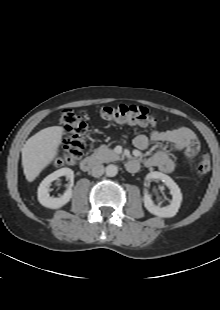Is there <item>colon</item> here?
<instances>
[{"instance_id": "obj_1", "label": "colon", "mask_w": 220, "mask_h": 310, "mask_svg": "<svg viewBox=\"0 0 220 310\" xmlns=\"http://www.w3.org/2000/svg\"><path fill=\"white\" fill-rule=\"evenodd\" d=\"M103 118L118 124L152 127L156 125V117L148 109L137 106L116 105L102 108ZM60 124L65 132L63 149L58 158L59 165H67L79 160L83 154L87 125L72 109H65L60 116ZM211 168L209 154L202 155L195 166L199 175L206 174Z\"/></svg>"}]
</instances>
